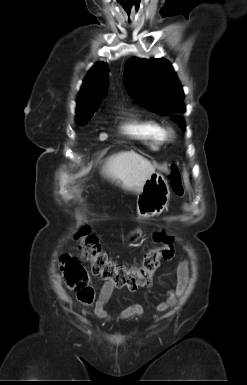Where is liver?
Listing matches in <instances>:
<instances>
[{"mask_svg": "<svg viewBox=\"0 0 247 385\" xmlns=\"http://www.w3.org/2000/svg\"><path fill=\"white\" fill-rule=\"evenodd\" d=\"M102 173L118 180L124 189L139 193L146 180L155 173L150 161L134 151L119 152L105 162Z\"/></svg>", "mask_w": 247, "mask_h": 385, "instance_id": "6515ba94", "label": "liver"}]
</instances>
